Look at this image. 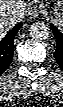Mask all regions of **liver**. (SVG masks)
I'll list each match as a JSON object with an SVG mask.
<instances>
[{"mask_svg": "<svg viewBox=\"0 0 63 107\" xmlns=\"http://www.w3.org/2000/svg\"><path fill=\"white\" fill-rule=\"evenodd\" d=\"M25 0H0V37H4L6 33L15 25L11 24L9 17L13 12L19 10L22 13L20 19L24 17L26 11ZM19 21V20H18Z\"/></svg>", "mask_w": 63, "mask_h": 107, "instance_id": "1", "label": "liver"}]
</instances>
